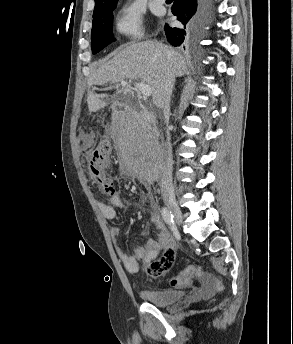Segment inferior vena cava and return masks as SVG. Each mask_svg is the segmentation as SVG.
Masks as SVG:
<instances>
[{
  "instance_id": "602c4592",
  "label": "inferior vena cava",
  "mask_w": 293,
  "mask_h": 344,
  "mask_svg": "<svg viewBox=\"0 0 293 344\" xmlns=\"http://www.w3.org/2000/svg\"><path fill=\"white\" fill-rule=\"evenodd\" d=\"M174 83V74L170 68L164 72L163 83L158 92V98L155 104L163 112L165 123L168 125L170 118V96L172 94ZM162 150L164 155V166L162 168L160 187L161 194L164 198H174V188L172 185V148L170 144V134L167 131V142L162 143Z\"/></svg>"
}]
</instances>
